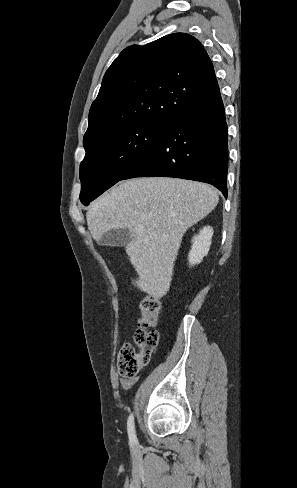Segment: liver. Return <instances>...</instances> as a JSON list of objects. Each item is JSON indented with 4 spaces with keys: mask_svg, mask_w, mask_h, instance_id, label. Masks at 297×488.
I'll return each mask as SVG.
<instances>
[{
    "mask_svg": "<svg viewBox=\"0 0 297 488\" xmlns=\"http://www.w3.org/2000/svg\"><path fill=\"white\" fill-rule=\"evenodd\" d=\"M216 190L204 183L165 177L120 182L96 200L86 219L99 242L112 229H126L125 249L138 279L154 298L164 296L184 233L218 204Z\"/></svg>",
    "mask_w": 297,
    "mask_h": 488,
    "instance_id": "liver-1",
    "label": "liver"
}]
</instances>
